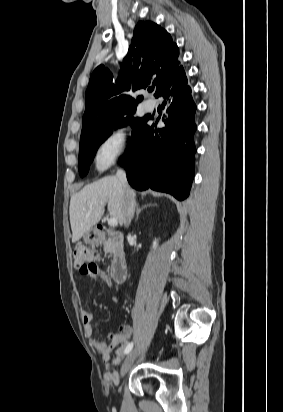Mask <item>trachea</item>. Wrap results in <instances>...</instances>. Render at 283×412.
<instances>
[{
	"mask_svg": "<svg viewBox=\"0 0 283 412\" xmlns=\"http://www.w3.org/2000/svg\"><path fill=\"white\" fill-rule=\"evenodd\" d=\"M149 91H153V88H151Z\"/></svg>",
	"mask_w": 283,
	"mask_h": 412,
	"instance_id": "obj_1",
	"label": "trachea"
}]
</instances>
